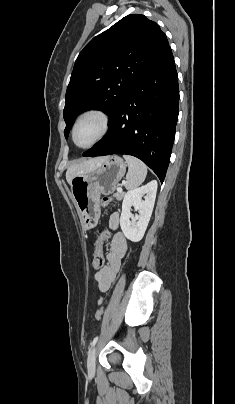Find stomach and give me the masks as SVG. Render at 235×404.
<instances>
[{
  "label": "stomach",
  "instance_id": "obj_1",
  "mask_svg": "<svg viewBox=\"0 0 235 404\" xmlns=\"http://www.w3.org/2000/svg\"><path fill=\"white\" fill-rule=\"evenodd\" d=\"M126 172L117 155L108 156L96 168L71 180V193L85 231L96 227L100 218V196L110 195Z\"/></svg>",
  "mask_w": 235,
  "mask_h": 404
}]
</instances>
